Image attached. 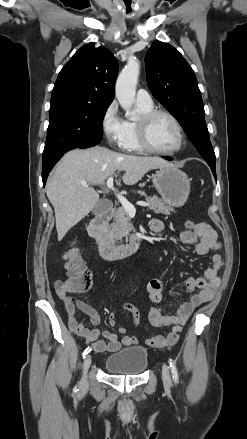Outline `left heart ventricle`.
<instances>
[{
	"label": "left heart ventricle",
	"instance_id": "b2bd125f",
	"mask_svg": "<svg viewBox=\"0 0 247 439\" xmlns=\"http://www.w3.org/2000/svg\"><path fill=\"white\" fill-rule=\"evenodd\" d=\"M149 141L159 150H170L178 143V132L173 122L166 116L159 115L149 127Z\"/></svg>",
	"mask_w": 247,
	"mask_h": 439
}]
</instances>
